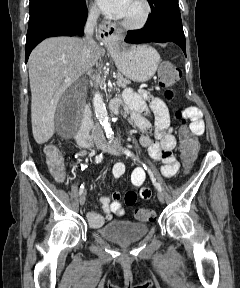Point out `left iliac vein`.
I'll use <instances>...</instances> for the list:
<instances>
[{"label":"left iliac vein","mask_w":240,"mask_h":288,"mask_svg":"<svg viewBox=\"0 0 240 288\" xmlns=\"http://www.w3.org/2000/svg\"><path fill=\"white\" fill-rule=\"evenodd\" d=\"M103 150L108 152V153H110V154H112V155H116V156H121L122 155L121 149L117 148L115 146L105 145ZM157 197H158L160 202L164 201V196H163L161 191L157 192Z\"/></svg>","instance_id":"4c4485c4"}]
</instances>
